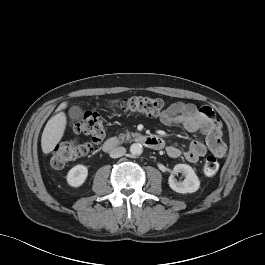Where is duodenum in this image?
I'll return each mask as SVG.
<instances>
[{"mask_svg": "<svg viewBox=\"0 0 265 265\" xmlns=\"http://www.w3.org/2000/svg\"><path fill=\"white\" fill-rule=\"evenodd\" d=\"M135 141L149 149L158 150L164 147V141L156 136L138 135L135 137ZM120 143L121 140L119 138L110 137L103 143V150L110 152L115 149Z\"/></svg>", "mask_w": 265, "mask_h": 265, "instance_id": "410a0bca", "label": "duodenum"}]
</instances>
